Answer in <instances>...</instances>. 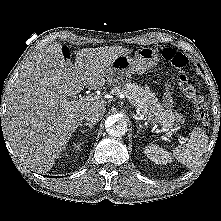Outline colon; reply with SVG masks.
Instances as JSON below:
<instances>
[{
    "mask_svg": "<svg viewBox=\"0 0 221 221\" xmlns=\"http://www.w3.org/2000/svg\"><path fill=\"white\" fill-rule=\"evenodd\" d=\"M164 61L178 70L179 88L185 97L194 105L195 115L204 128H208L210 124L208 107L201 96H199L190 81L187 72V58L177 50L166 47L162 50Z\"/></svg>",
    "mask_w": 221,
    "mask_h": 221,
    "instance_id": "1",
    "label": "colon"
}]
</instances>
